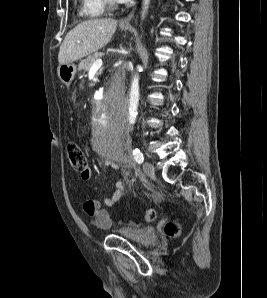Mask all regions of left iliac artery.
I'll return each mask as SVG.
<instances>
[{
  "label": "left iliac artery",
  "mask_w": 267,
  "mask_h": 298,
  "mask_svg": "<svg viewBox=\"0 0 267 298\" xmlns=\"http://www.w3.org/2000/svg\"><path fill=\"white\" fill-rule=\"evenodd\" d=\"M133 156H134V160L137 163H139V164L143 163L144 156H143L142 152L138 148H136V149L133 150Z\"/></svg>",
  "instance_id": "obj_1"
}]
</instances>
